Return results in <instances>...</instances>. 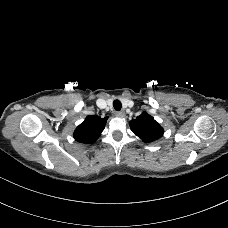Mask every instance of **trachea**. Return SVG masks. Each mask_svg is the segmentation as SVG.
Segmentation results:
<instances>
[{
    "instance_id": "1",
    "label": "trachea",
    "mask_w": 228,
    "mask_h": 228,
    "mask_svg": "<svg viewBox=\"0 0 228 228\" xmlns=\"http://www.w3.org/2000/svg\"><path fill=\"white\" fill-rule=\"evenodd\" d=\"M113 106H114L115 110L119 111V110H121L122 104H121V102L119 100H115L113 102Z\"/></svg>"
}]
</instances>
